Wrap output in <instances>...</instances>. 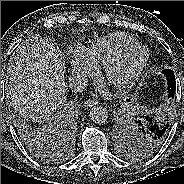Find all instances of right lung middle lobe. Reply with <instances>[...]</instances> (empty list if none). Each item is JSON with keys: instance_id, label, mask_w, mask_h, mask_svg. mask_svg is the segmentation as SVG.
Here are the masks:
<instances>
[{"instance_id": "1", "label": "right lung middle lobe", "mask_w": 184, "mask_h": 184, "mask_svg": "<svg viewBox=\"0 0 184 184\" xmlns=\"http://www.w3.org/2000/svg\"><path fill=\"white\" fill-rule=\"evenodd\" d=\"M23 129V127H22ZM23 134H25L27 140H31L30 136L28 137V134H26V128L24 127Z\"/></svg>"}]
</instances>
